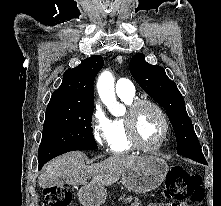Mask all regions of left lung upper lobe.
<instances>
[{
    "mask_svg": "<svg viewBox=\"0 0 221 206\" xmlns=\"http://www.w3.org/2000/svg\"><path fill=\"white\" fill-rule=\"evenodd\" d=\"M130 72L141 88L167 111L176 135L178 154L193 160L204 158L184 99L165 70L149 64L145 55L138 53L130 61Z\"/></svg>",
    "mask_w": 221,
    "mask_h": 206,
    "instance_id": "left-lung-upper-lobe-1",
    "label": "left lung upper lobe"
}]
</instances>
